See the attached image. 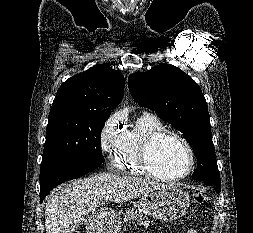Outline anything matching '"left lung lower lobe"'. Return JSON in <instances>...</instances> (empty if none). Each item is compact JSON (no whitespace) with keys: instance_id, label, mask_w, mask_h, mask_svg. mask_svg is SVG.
Here are the masks:
<instances>
[{"instance_id":"left-lung-lower-lobe-1","label":"left lung lower lobe","mask_w":253,"mask_h":233,"mask_svg":"<svg viewBox=\"0 0 253 233\" xmlns=\"http://www.w3.org/2000/svg\"><path fill=\"white\" fill-rule=\"evenodd\" d=\"M203 182L208 185L213 186L218 193L221 191V183H212V182H208V181H203Z\"/></svg>"}]
</instances>
